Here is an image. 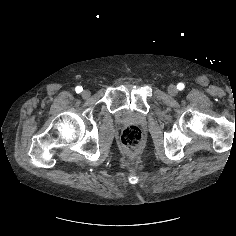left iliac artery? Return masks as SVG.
I'll return each instance as SVG.
<instances>
[{
  "mask_svg": "<svg viewBox=\"0 0 236 236\" xmlns=\"http://www.w3.org/2000/svg\"><path fill=\"white\" fill-rule=\"evenodd\" d=\"M185 88V85L183 83H178L177 84V89L178 90H183Z\"/></svg>",
  "mask_w": 236,
  "mask_h": 236,
  "instance_id": "1",
  "label": "left iliac artery"
}]
</instances>
